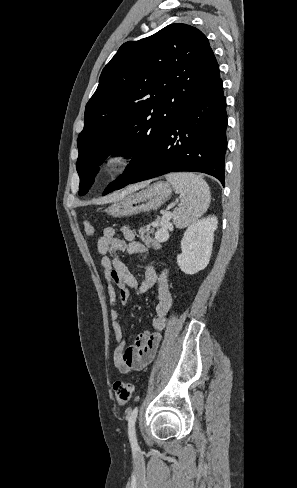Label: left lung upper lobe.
Instances as JSON below:
<instances>
[{
	"mask_svg": "<svg viewBox=\"0 0 297 488\" xmlns=\"http://www.w3.org/2000/svg\"><path fill=\"white\" fill-rule=\"evenodd\" d=\"M220 77L206 36L171 24L139 41L124 43L104 67L88 101L79 134V195L94 182L110 154L133 155L124 173L104 192L135 177L183 112Z\"/></svg>",
	"mask_w": 297,
	"mask_h": 488,
	"instance_id": "left-lung-upper-lobe-1",
	"label": "left lung upper lobe"
}]
</instances>
